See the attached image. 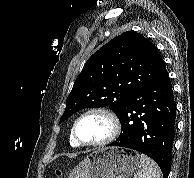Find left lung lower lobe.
<instances>
[{
    "label": "left lung lower lobe",
    "mask_w": 194,
    "mask_h": 178,
    "mask_svg": "<svg viewBox=\"0 0 194 178\" xmlns=\"http://www.w3.org/2000/svg\"><path fill=\"white\" fill-rule=\"evenodd\" d=\"M122 133L109 146L129 148L151 157L163 178L171 169L176 102L166 68L155 79L129 95L116 112Z\"/></svg>",
    "instance_id": "1"
}]
</instances>
